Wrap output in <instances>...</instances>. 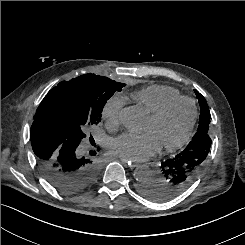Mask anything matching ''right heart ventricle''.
<instances>
[{"instance_id":"1","label":"right heart ventricle","mask_w":245,"mask_h":245,"mask_svg":"<svg viewBox=\"0 0 245 245\" xmlns=\"http://www.w3.org/2000/svg\"><path fill=\"white\" fill-rule=\"evenodd\" d=\"M180 96L182 94L177 89L163 85H151L135 94L136 100L148 113L157 110L168 100Z\"/></svg>"}]
</instances>
